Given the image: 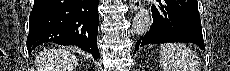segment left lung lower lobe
I'll return each mask as SVG.
<instances>
[{"mask_svg":"<svg viewBox=\"0 0 230 71\" xmlns=\"http://www.w3.org/2000/svg\"><path fill=\"white\" fill-rule=\"evenodd\" d=\"M156 1L159 8L152 7L153 24L137 41L135 51L145 44L165 42H191L205 49L197 0Z\"/></svg>","mask_w":230,"mask_h":71,"instance_id":"0a47b994","label":"left lung lower lobe"}]
</instances>
